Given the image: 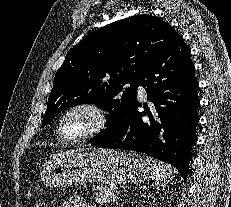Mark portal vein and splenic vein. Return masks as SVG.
I'll return each instance as SVG.
<instances>
[{
  "instance_id": "portal-vein-and-splenic-vein-1",
  "label": "portal vein and splenic vein",
  "mask_w": 231,
  "mask_h": 207,
  "mask_svg": "<svg viewBox=\"0 0 231 207\" xmlns=\"http://www.w3.org/2000/svg\"><path fill=\"white\" fill-rule=\"evenodd\" d=\"M113 200L116 201V200H117V197H115Z\"/></svg>"
}]
</instances>
